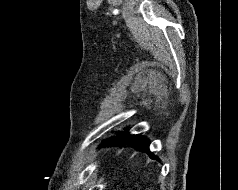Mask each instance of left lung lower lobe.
Wrapping results in <instances>:
<instances>
[{"label":"left lung lower lobe","mask_w":238,"mask_h":190,"mask_svg":"<svg viewBox=\"0 0 238 190\" xmlns=\"http://www.w3.org/2000/svg\"><path fill=\"white\" fill-rule=\"evenodd\" d=\"M149 140L146 137L140 135H130L125 132H120L116 137L105 140L103 146H134L138 151L148 152L150 158H158L149 149Z\"/></svg>","instance_id":"0a47b994"}]
</instances>
